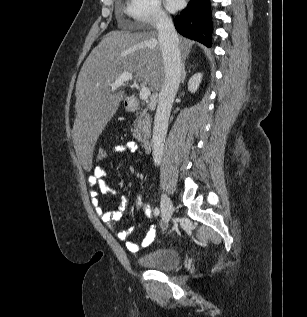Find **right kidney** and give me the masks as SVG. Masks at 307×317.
Returning <instances> with one entry per match:
<instances>
[{
    "mask_svg": "<svg viewBox=\"0 0 307 317\" xmlns=\"http://www.w3.org/2000/svg\"><path fill=\"white\" fill-rule=\"evenodd\" d=\"M202 74L201 73H195L188 82V90L191 93H195L199 87V84L201 83Z\"/></svg>",
    "mask_w": 307,
    "mask_h": 317,
    "instance_id": "1",
    "label": "right kidney"
}]
</instances>
